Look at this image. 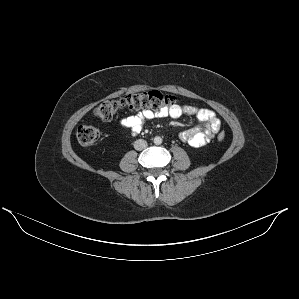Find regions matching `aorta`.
<instances>
[{"mask_svg": "<svg viewBox=\"0 0 299 299\" xmlns=\"http://www.w3.org/2000/svg\"><path fill=\"white\" fill-rule=\"evenodd\" d=\"M161 143H162V138L159 137V136H156V137L154 138V144H156V145H160Z\"/></svg>", "mask_w": 299, "mask_h": 299, "instance_id": "1", "label": "aorta"}]
</instances>
